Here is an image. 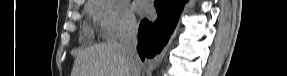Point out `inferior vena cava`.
<instances>
[{"label": "inferior vena cava", "instance_id": "obj_1", "mask_svg": "<svg viewBox=\"0 0 287 76\" xmlns=\"http://www.w3.org/2000/svg\"><path fill=\"white\" fill-rule=\"evenodd\" d=\"M138 25L136 21L130 20L125 26L119 44L122 54L126 57L129 64V76H140V58L137 53L138 44Z\"/></svg>", "mask_w": 287, "mask_h": 76}]
</instances>
